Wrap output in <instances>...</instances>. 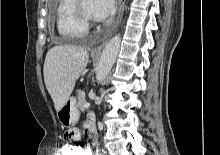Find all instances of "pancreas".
<instances>
[{
	"label": "pancreas",
	"mask_w": 220,
	"mask_h": 155,
	"mask_svg": "<svg viewBox=\"0 0 220 155\" xmlns=\"http://www.w3.org/2000/svg\"><path fill=\"white\" fill-rule=\"evenodd\" d=\"M86 103V99H85V93L83 91H79L78 92V103H77V107L81 110L84 111V104Z\"/></svg>",
	"instance_id": "1"
}]
</instances>
